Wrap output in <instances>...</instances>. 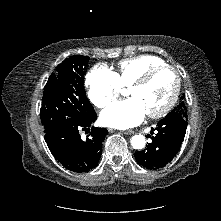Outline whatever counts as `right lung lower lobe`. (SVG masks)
I'll return each mask as SVG.
<instances>
[{
  "label": "right lung lower lobe",
  "mask_w": 221,
  "mask_h": 221,
  "mask_svg": "<svg viewBox=\"0 0 221 221\" xmlns=\"http://www.w3.org/2000/svg\"><path fill=\"white\" fill-rule=\"evenodd\" d=\"M96 120L95 111L85 118L71 120L63 126L45 132V141L52 155L65 168L73 172H88L97 164L102 154V143L108 134L106 128L92 127L82 140L79 131L89 130Z\"/></svg>",
  "instance_id": "obj_1"
}]
</instances>
